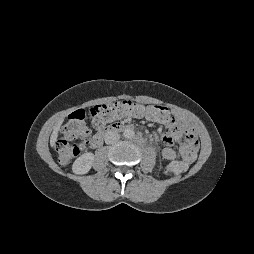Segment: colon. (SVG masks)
<instances>
[{"instance_id": "colon-1", "label": "colon", "mask_w": 254, "mask_h": 254, "mask_svg": "<svg viewBox=\"0 0 254 254\" xmlns=\"http://www.w3.org/2000/svg\"><path fill=\"white\" fill-rule=\"evenodd\" d=\"M168 112L159 105L141 104L130 100L99 104L90 109L89 126L85 112L76 111L61 128V137L56 144L59 161L68 164L79 154L82 144L90 135L91 128L100 131L125 116L163 120L167 118ZM186 170L187 164L181 161H171L165 166V172L170 175H178Z\"/></svg>"}]
</instances>
